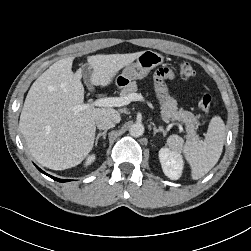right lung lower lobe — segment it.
I'll use <instances>...</instances> for the list:
<instances>
[{
	"mask_svg": "<svg viewBox=\"0 0 251 251\" xmlns=\"http://www.w3.org/2000/svg\"><path fill=\"white\" fill-rule=\"evenodd\" d=\"M36 167H37V166H36ZM37 169H38L40 172L46 174V173H45L44 171H42L40 168L37 167ZM46 175L49 176V177H51L52 179L58 181V182H67V181H69V180L58 179V178H55V177L50 176V175H48V174H46Z\"/></svg>",
	"mask_w": 251,
	"mask_h": 251,
	"instance_id": "obj_1",
	"label": "right lung lower lobe"
}]
</instances>
